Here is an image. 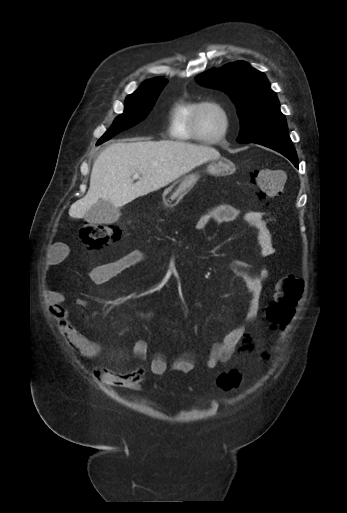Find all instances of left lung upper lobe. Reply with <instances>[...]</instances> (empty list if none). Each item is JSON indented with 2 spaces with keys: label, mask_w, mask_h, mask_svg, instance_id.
Returning a JSON list of instances; mask_svg holds the SVG:
<instances>
[{
  "label": "left lung upper lobe",
  "mask_w": 347,
  "mask_h": 513,
  "mask_svg": "<svg viewBox=\"0 0 347 513\" xmlns=\"http://www.w3.org/2000/svg\"><path fill=\"white\" fill-rule=\"evenodd\" d=\"M195 79L204 86L224 91L233 101L241 125L237 142L251 143L288 134L279 101L266 76L248 63L227 64Z\"/></svg>",
  "instance_id": "5c2ea615"
}]
</instances>
